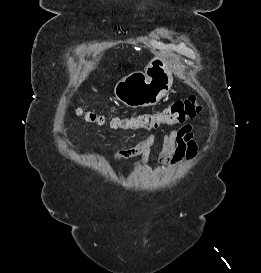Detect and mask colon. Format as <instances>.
<instances>
[{"label":"colon","mask_w":261,"mask_h":273,"mask_svg":"<svg viewBox=\"0 0 261 273\" xmlns=\"http://www.w3.org/2000/svg\"><path fill=\"white\" fill-rule=\"evenodd\" d=\"M200 110L201 107L196 98L189 97L185 100L176 101L161 111L138 116L113 117L106 120L104 116L92 111L83 112L79 110V113L83 114L85 120L91 123L108 124L114 129L135 130L152 129L161 125L181 124L194 118Z\"/></svg>","instance_id":"colon-1"}]
</instances>
